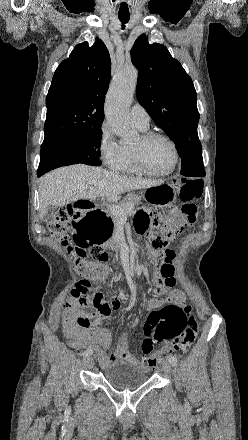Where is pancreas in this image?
<instances>
[{
    "mask_svg": "<svg viewBox=\"0 0 248 440\" xmlns=\"http://www.w3.org/2000/svg\"><path fill=\"white\" fill-rule=\"evenodd\" d=\"M140 203H141L140 196H138L134 193H129L119 204L113 205V206H115L117 208L125 209L128 205H131L132 209H133L135 205H138ZM106 213L112 218L113 222L115 224H117V222L119 221V218L117 216L113 215L109 208L106 211Z\"/></svg>",
    "mask_w": 248,
    "mask_h": 440,
    "instance_id": "obj_1",
    "label": "pancreas"
}]
</instances>
